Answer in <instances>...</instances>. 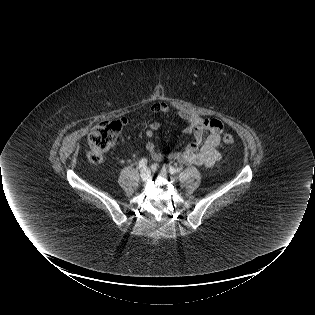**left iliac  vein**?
Masks as SVG:
<instances>
[{"mask_svg": "<svg viewBox=\"0 0 315 315\" xmlns=\"http://www.w3.org/2000/svg\"><path fill=\"white\" fill-rule=\"evenodd\" d=\"M152 170L155 172L157 170V168H155L154 166H152ZM160 176L164 177V178H168V173L165 170H161L159 172Z\"/></svg>", "mask_w": 315, "mask_h": 315, "instance_id": "left-iliac-vein-1", "label": "left iliac vein"}]
</instances>
